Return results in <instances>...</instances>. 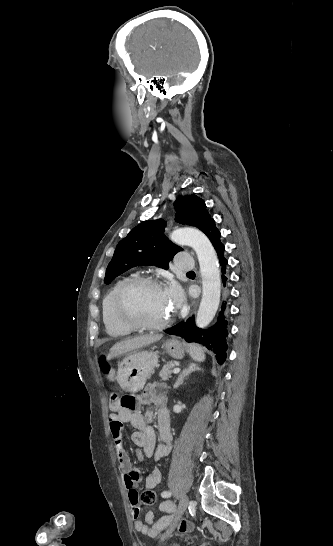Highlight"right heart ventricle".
Returning a JSON list of instances; mask_svg holds the SVG:
<instances>
[{
    "label": "right heart ventricle",
    "instance_id": "e07e8e85",
    "mask_svg": "<svg viewBox=\"0 0 333 546\" xmlns=\"http://www.w3.org/2000/svg\"><path fill=\"white\" fill-rule=\"evenodd\" d=\"M132 278L133 276H126L117 280L102 301V320L107 333L112 337H124L133 331L118 318L115 309V300L120 288Z\"/></svg>",
    "mask_w": 333,
    "mask_h": 546
}]
</instances>
